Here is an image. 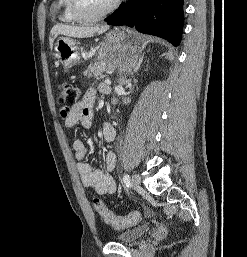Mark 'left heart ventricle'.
<instances>
[{
	"instance_id": "1",
	"label": "left heart ventricle",
	"mask_w": 247,
	"mask_h": 257,
	"mask_svg": "<svg viewBox=\"0 0 247 257\" xmlns=\"http://www.w3.org/2000/svg\"><path fill=\"white\" fill-rule=\"evenodd\" d=\"M82 9L89 15L105 10L114 0H80Z\"/></svg>"
}]
</instances>
